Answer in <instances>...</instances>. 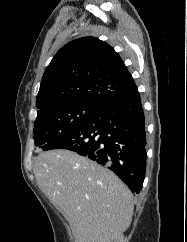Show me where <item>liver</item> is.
<instances>
[{"label":"liver","mask_w":187,"mask_h":242,"mask_svg":"<svg viewBox=\"0 0 187 242\" xmlns=\"http://www.w3.org/2000/svg\"><path fill=\"white\" fill-rule=\"evenodd\" d=\"M38 185L72 227L75 242H111L131 224L134 203L110 170L68 150L39 154Z\"/></svg>","instance_id":"liver-1"}]
</instances>
